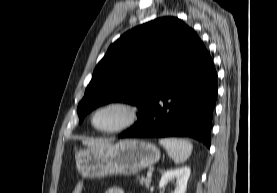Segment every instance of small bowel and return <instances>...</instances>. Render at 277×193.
<instances>
[{
	"mask_svg": "<svg viewBox=\"0 0 277 193\" xmlns=\"http://www.w3.org/2000/svg\"><path fill=\"white\" fill-rule=\"evenodd\" d=\"M105 193H127L124 189L118 187V186H114V187H110L108 188Z\"/></svg>",
	"mask_w": 277,
	"mask_h": 193,
	"instance_id": "1",
	"label": "small bowel"
}]
</instances>
